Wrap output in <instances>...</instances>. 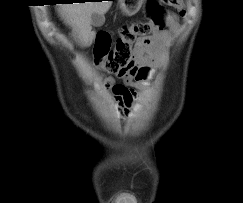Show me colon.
Segmentation results:
<instances>
[{"instance_id": "1", "label": "colon", "mask_w": 243, "mask_h": 203, "mask_svg": "<svg viewBox=\"0 0 243 203\" xmlns=\"http://www.w3.org/2000/svg\"><path fill=\"white\" fill-rule=\"evenodd\" d=\"M165 6L174 8L181 16L186 13L182 0H150L146 8V19L124 24L114 48H111L112 41L108 33L101 32L97 35L94 48L96 64L113 74H120L128 69L133 58L132 49L136 43L164 26Z\"/></svg>"}]
</instances>
